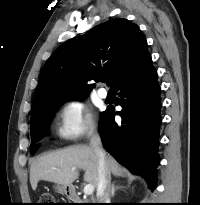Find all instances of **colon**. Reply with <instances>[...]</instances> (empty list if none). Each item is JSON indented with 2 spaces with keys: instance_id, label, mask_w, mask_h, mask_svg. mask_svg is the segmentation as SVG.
I'll list each match as a JSON object with an SVG mask.
<instances>
[{
  "instance_id": "1",
  "label": "colon",
  "mask_w": 200,
  "mask_h": 205,
  "mask_svg": "<svg viewBox=\"0 0 200 205\" xmlns=\"http://www.w3.org/2000/svg\"><path fill=\"white\" fill-rule=\"evenodd\" d=\"M38 205H54V198L51 194H42L38 199Z\"/></svg>"
}]
</instances>
